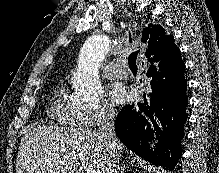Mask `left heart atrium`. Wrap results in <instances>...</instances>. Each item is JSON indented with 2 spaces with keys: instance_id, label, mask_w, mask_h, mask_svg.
Segmentation results:
<instances>
[{
  "instance_id": "obj_1",
  "label": "left heart atrium",
  "mask_w": 219,
  "mask_h": 173,
  "mask_svg": "<svg viewBox=\"0 0 219 173\" xmlns=\"http://www.w3.org/2000/svg\"><path fill=\"white\" fill-rule=\"evenodd\" d=\"M109 97L115 104L122 103L127 98V90L122 83H114L109 90Z\"/></svg>"
}]
</instances>
